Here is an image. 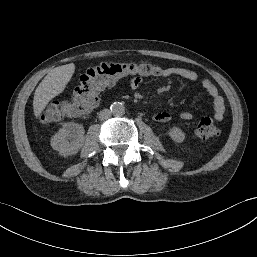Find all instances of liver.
<instances>
[{
	"label": "liver",
	"instance_id": "liver-1",
	"mask_svg": "<svg viewBox=\"0 0 257 257\" xmlns=\"http://www.w3.org/2000/svg\"><path fill=\"white\" fill-rule=\"evenodd\" d=\"M75 71L73 63L52 69L41 81L34 93L33 109L36 118L42 113L46 105L63 92Z\"/></svg>",
	"mask_w": 257,
	"mask_h": 257
}]
</instances>
